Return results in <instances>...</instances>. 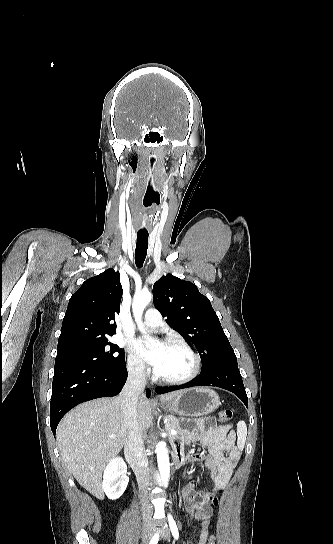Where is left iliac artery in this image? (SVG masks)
I'll list each match as a JSON object with an SVG mask.
<instances>
[{"instance_id":"44dca946","label":"left iliac artery","mask_w":333,"mask_h":544,"mask_svg":"<svg viewBox=\"0 0 333 544\" xmlns=\"http://www.w3.org/2000/svg\"><path fill=\"white\" fill-rule=\"evenodd\" d=\"M168 521H169V526H170L173 537L175 539H178L179 538V531H178L175 520L173 519L172 515H170V514L168 516Z\"/></svg>"}]
</instances>
